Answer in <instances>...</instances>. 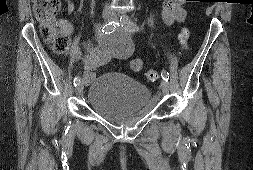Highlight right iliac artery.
I'll use <instances>...</instances> for the list:
<instances>
[{
	"mask_svg": "<svg viewBox=\"0 0 253 170\" xmlns=\"http://www.w3.org/2000/svg\"><path fill=\"white\" fill-rule=\"evenodd\" d=\"M119 25L118 22H109L108 24H105L102 28H101V31H100V34L101 35H104V34H109V33H112L116 26ZM80 82V77L77 76L74 78V86H77V84Z\"/></svg>",
	"mask_w": 253,
	"mask_h": 170,
	"instance_id": "right-iliac-artery-1",
	"label": "right iliac artery"
}]
</instances>
